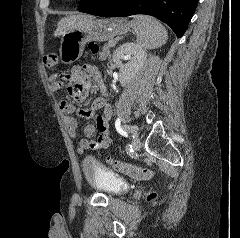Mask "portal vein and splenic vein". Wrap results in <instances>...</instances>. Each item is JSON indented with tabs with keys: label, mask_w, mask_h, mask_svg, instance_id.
Returning a JSON list of instances; mask_svg holds the SVG:
<instances>
[{
	"label": "portal vein and splenic vein",
	"mask_w": 240,
	"mask_h": 238,
	"mask_svg": "<svg viewBox=\"0 0 240 238\" xmlns=\"http://www.w3.org/2000/svg\"><path fill=\"white\" fill-rule=\"evenodd\" d=\"M115 44H116V43L113 42V41L109 43V45H110L111 47L114 46Z\"/></svg>",
	"instance_id": "1"
}]
</instances>
